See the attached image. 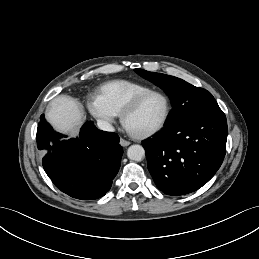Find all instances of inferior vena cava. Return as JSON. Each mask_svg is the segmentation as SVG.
I'll list each match as a JSON object with an SVG mask.
<instances>
[{
	"mask_svg": "<svg viewBox=\"0 0 259 259\" xmlns=\"http://www.w3.org/2000/svg\"><path fill=\"white\" fill-rule=\"evenodd\" d=\"M97 125H98V128L103 131H109V132L114 131L113 126L105 120H101V119L97 120Z\"/></svg>",
	"mask_w": 259,
	"mask_h": 259,
	"instance_id": "1",
	"label": "inferior vena cava"
}]
</instances>
